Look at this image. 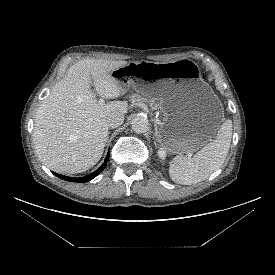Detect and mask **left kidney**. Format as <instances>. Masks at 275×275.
I'll list each match as a JSON object with an SVG mask.
<instances>
[{
	"mask_svg": "<svg viewBox=\"0 0 275 275\" xmlns=\"http://www.w3.org/2000/svg\"><path fill=\"white\" fill-rule=\"evenodd\" d=\"M158 155H159V157L164 161V160H165V157H166V155H167L166 150H165L164 148H160V149L158 150Z\"/></svg>",
	"mask_w": 275,
	"mask_h": 275,
	"instance_id": "5707ae66",
	"label": "left kidney"
}]
</instances>
